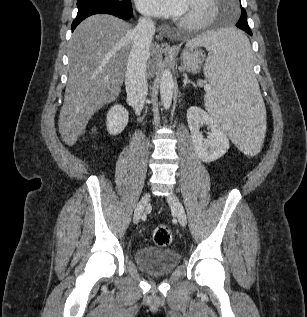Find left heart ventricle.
I'll return each mask as SVG.
<instances>
[{"label": "left heart ventricle", "instance_id": "b2bd125f", "mask_svg": "<svg viewBox=\"0 0 307 317\" xmlns=\"http://www.w3.org/2000/svg\"><path fill=\"white\" fill-rule=\"evenodd\" d=\"M204 11L205 9L200 3L189 2L184 14L182 15V18L193 19L201 16L204 13Z\"/></svg>", "mask_w": 307, "mask_h": 317}]
</instances>
